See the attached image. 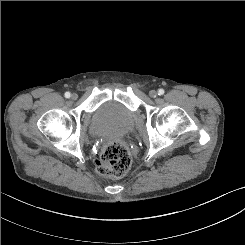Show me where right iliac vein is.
<instances>
[{
	"mask_svg": "<svg viewBox=\"0 0 245 245\" xmlns=\"http://www.w3.org/2000/svg\"><path fill=\"white\" fill-rule=\"evenodd\" d=\"M78 98V95L76 94V93H73L72 95H71V99L72 100H76Z\"/></svg>",
	"mask_w": 245,
	"mask_h": 245,
	"instance_id": "63e3f726",
	"label": "right iliac vein"
}]
</instances>
